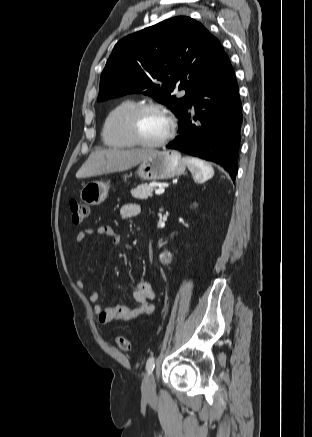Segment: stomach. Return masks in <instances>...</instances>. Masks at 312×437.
Segmentation results:
<instances>
[{
	"label": "stomach",
	"instance_id": "obj_1",
	"mask_svg": "<svg viewBox=\"0 0 312 437\" xmlns=\"http://www.w3.org/2000/svg\"><path fill=\"white\" fill-rule=\"evenodd\" d=\"M186 164L179 152L175 150H163L153 152L142 162L136 170V174L143 180H165L182 175ZM132 176L125 175L126 177ZM109 184L100 181H91L83 186L80 191V199L88 205H100L108 196Z\"/></svg>",
	"mask_w": 312,
	"mask_h": 437
}]
</instances>
